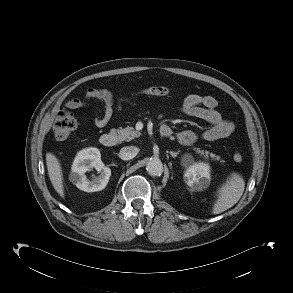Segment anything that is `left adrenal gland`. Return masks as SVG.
I'll return each instance as SVG.
<instances>
[{
  "label": "left adrenal gland",
  "instance_id": "a2214340",
  "mask_svg": "<svg viewBox=\"0 0 293 293\" xmlns=\"http://www.w3.org/2000/svg\"><path fill=\"white\" fill-rule=\"evenodd\" d=\"M179 153H180V151H177V152L170 151V155H171L173 158H176V157L178 156Z\"/></svg>",
  "mask_w": 293,
  "mask_h": 293
}]
</instances>
